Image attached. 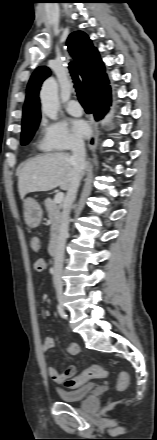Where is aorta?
<instances>
[{"instance_id":"aorta-1","label":"aorta","mask_w":157,"mask_h":440,"mask_svg":"<svg viewBox=\"0 0 157 440\" xmlns=\"http://www.w3.org/2000/svg\"><path fill=\"white\" fill-rule=\"evenodd\" d=\"M40 99L42 104V112L52 120H56L59 110L58 84L53 77L44 81Z\"/></svg>"}]
</instances>
